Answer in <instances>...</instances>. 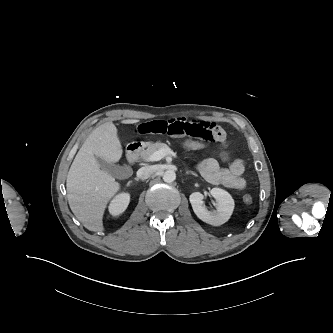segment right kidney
<instances>
[{
  "label": "right kidney",
  "mask_w": 333,
  "mask_h": 333,
  "mask_svg": "<svg viewBox=\"0 0 333 333\" xmlns=\"http://www.w3.org/2000/svg\"><path fill=\"white\" fill-rule=\"evenodd\" d=\"M130 201V195L128 193H121L118 196H116L109 205V212L113 216H117L122 214Z\"/></svg>",
  "instance_id": "obj_1"
}]
</instances>
